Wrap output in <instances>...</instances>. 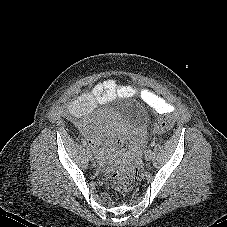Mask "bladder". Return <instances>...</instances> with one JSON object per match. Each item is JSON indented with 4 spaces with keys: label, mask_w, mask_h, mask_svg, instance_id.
<instances>
[{
    "label": "bladder",
    "mask_w": 227,
    "mask_h": 227,
    "mask_svg": "<svg viewBox=\"0 0 227 227\" xmlns=\"http://www.w3.org/2000/svg\"><path fill=\"white\" fill-rule=\"evenodd\" d=\"M114 115L120 119H126L132 123L147 127L150 120L144 111L138 110L127 102H119L110 106L101 107L93 114L94 118Z\"/></svg>",
    "instance_id": "31cf9c89"
}]
</instances>
